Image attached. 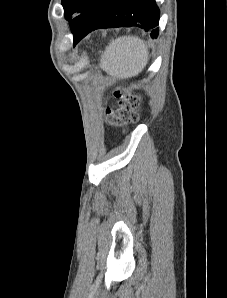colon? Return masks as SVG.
Wrapping results in <instances>:
<instances>
[{
  "label": "colon",
  "instance_id": "colon-1",
  "mask_svg": "<svg viewBox=\"0 0 227 298\" xmlns=\"http://www.w3.org/2000/svg\"><path fill=\"white\" fill-rule=\"evenodd\" d=\"M114 97L117 100L116 109H105L107 123L116 126L136 123L139 120V98L126 88H117Z\"/></svg>",
  "mask_w": 227,
  "mask_h": 298
}]
</instances>
